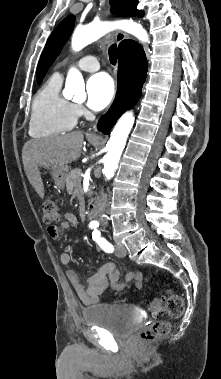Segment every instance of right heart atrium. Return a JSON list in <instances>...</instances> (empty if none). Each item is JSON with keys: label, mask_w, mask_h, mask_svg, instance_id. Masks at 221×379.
I'll return each mask as SVG.
<instances>
[{"label": "right heart atrium", "mask_w": 221, "mask_h": 379, "mask_svg": "<svg viewBox=\"0 0 221 379\" xmlns=\"http://www.w3.org/2000/svg\"><path fill=\"white\" fill-rule=\"evenodd\" d=\"M74 112H75L77 117L83 115V113H84L83 106L80 104H74Z\"/></svg>", "instance_id": "1"}]
</instances>
